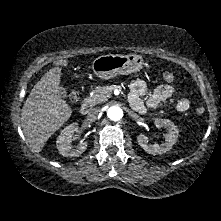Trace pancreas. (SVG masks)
<instances>
[{"label":"pancreas","mask_w":221,"mask_h":221,"mask_svg":"<svg viewBox=\"0 0 221 221\" xmlns=\"http://www.w3.org/2000/svg\"><path fill=\"white\" fill-rule=\"evenodd\" d=\"M111 97V91L109 86H99L96 87L93 94L86 98V101L91 105L95 106L97 104L107 101Z\"/></svg>","instance_id":"1"}]
</instances>
